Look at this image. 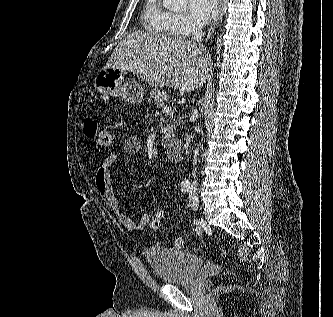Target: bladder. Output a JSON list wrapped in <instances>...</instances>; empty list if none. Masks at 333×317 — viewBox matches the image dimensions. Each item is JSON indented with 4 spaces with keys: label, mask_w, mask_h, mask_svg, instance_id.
<instances>
[{
    "label": "bladder",
    "mask_w": 333,
    "mask_h": 317,
    "mask_svg": "<svg viewBox=\"0 0 333 317\" xmlns=\"http://www.w3.org/2000/svg\"><path fill=\"white\" fill-rule=\"evenodd\" d=\"M145 258L156 277L168 284H189L203 267L200 256L163 246L148 248Z\"/></svg>",
    "instance_id": "1"
}]
</instances>
